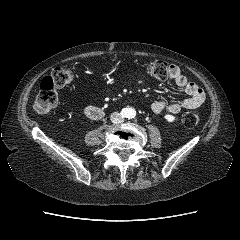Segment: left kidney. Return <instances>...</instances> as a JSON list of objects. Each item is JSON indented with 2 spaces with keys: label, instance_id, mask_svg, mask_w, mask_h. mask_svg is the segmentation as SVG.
<instances>
[{
  "label": "left kidney",
  "instance_id": "left-kidney-1",
  "mask_svg": "<svg viewBox=\"0 0 240 240\" xmlns=\"http://www.w3.org/2000/svg\"><path fill=\"white\" fill-rule=\"evenodd\" d=\"M164 118L168 121V122H174L175 121V117L173 115L170 114H166L164 116Z\"/></svg>",
  "mask_w": 240,
  "mask_h": 240
}]
</instances>
